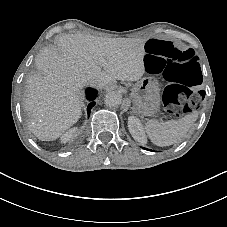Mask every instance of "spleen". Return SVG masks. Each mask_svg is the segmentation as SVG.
<instances>
[{
	"label": "spleen",
	"instance_id": "1",
	"mask_svg": "<svg viewBox=\"0 0 227 227\" xmlns=\"http://www.w3.org/2000/svg\"><path fill=\"white\" fill-rule=\"evenodd\" d=\"M197 112L185 116L182 120L158 122L150 120L144 125L146 134L157 146H168L179 142L197 119Z\"/></svg>",
	"mask_w": 227,
	"mask_h": 227
}]
</instances>
